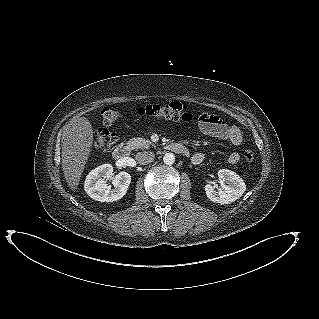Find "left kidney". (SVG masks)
Returning <instances> with one entry per match:
<instances>
[{
  "label": "left kidney",
  "instance_id": "obj_1",
  "mask_svg": "<svg viewBox=\"0 0 319 319\" xmlns=\"http://www.w3.org/2000/svg\"><path fill=\"white\" fill-rule=\"evenodd\" d=\"M218 177L222 180L221 188L215 189L211 183L205 186L206 195L211 201L229 204L239 199L246 191V185L237 173L228 169H220Z\"/></svg>",
  "mask_w": 319,
  "mask_h": 319
}]
</instances>
